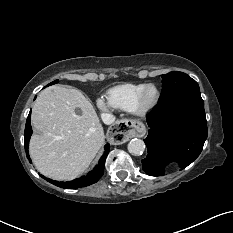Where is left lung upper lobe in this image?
<instances>
[{"mask_svg": "<svg viewBox=\"0 0 233 233\" xmlns=\"http://www.w3.org/2000/svg\"><path fill=\"white\" fill-rule=\"evenodd\" d=\"M162 79L163 91L160 102L182 91L199 90L197 82L183 72L173 71L162 75Z\"/></svg>", "mask_w": 233, "mask_h": 233, "instance_id": "left-lung-upper-lobe-1", "label": "left lung upper lobe"}]
</instances>
